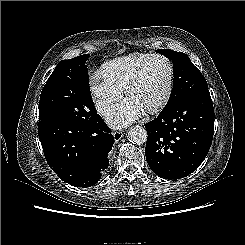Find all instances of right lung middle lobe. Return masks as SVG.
Instances as JSON below:
<instances>
[{
    "label": "right lung middle lobe",
    "mask_w": 245,
    "mask_h": 245,
    "mask_svg": "<svg viewBox=\"0 0 245 245\" xmlns=\"http://www.w3.org/2000/svg\"><path fill=\"white\" fill-rule=\"evenodd\" d=\"M89 55L60 61L40 96L39 120L88 125L96 116L85 62Z\"/></svg>",
    "instance_id": "dd1d6c3e"
}]
</instances>
